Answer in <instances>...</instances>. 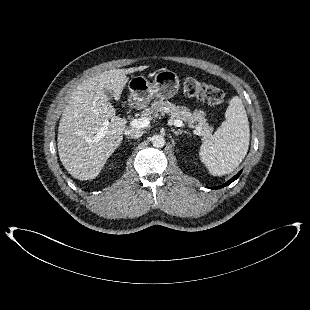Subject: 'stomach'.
<instances>
[{
	"mask_svg": "<svg viewBox=\"0 0 310 310\" xmlns=\"http://www.w3.org/2000/svg\"><path fill=\"white\" fill-rule=\"evenodd\" d=\"M128 88L134 104L144 107L153 97L161 100L174 97L179 89V78L175 72L162 69L155 73L153 82L144 76L133 77L129 81Z\"/></svg>",
	"mask_w": 310,
	"mask_h": 310,
	"instance_id": "stomach-1",
	"label": "stomach"
}]
</instances>
